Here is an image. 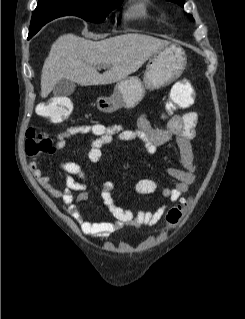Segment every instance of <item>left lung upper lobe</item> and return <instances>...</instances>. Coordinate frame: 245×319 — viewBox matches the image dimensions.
Listing matches in <instances>:
<instances>
[{"mask_svg": "<svg viewBox=\"0 0 245 319\" xmlns=\"http://www.w3.org/2000/svg\"><path fill=\"white\" fill-rule=\"evenodd\" d=\"M171 2L177 3L180 6H184L185 0H169Z\"/></svg>", "mask_w": 245, "mask_h": 319, "instance_id": "left-lung-upper-lobe-1", "label": "left lung upper lobe"}]
</instances>
